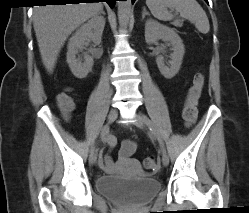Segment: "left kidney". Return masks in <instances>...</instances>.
<instances>
[{
  "label": "left kidney",
  "instance_id": "1",
  "mask_svg": "<svg viewBox=\"0 0 249 213\" xmlns=\"http://www.w3.org/2000/svg\"><path fill=\"white\" fill-rule=\"evenodd\" d=\"M169 42L172 46L173 53L170 55L168 66L163 56L156 58V63L159 71L166 79L173 78L180 70L185 48L182 39L176 31L166 25H163L155 20L149 19L145 23V40L148 44H153L158 40Z\"/></svg>",
  "mask_w": 249,
  "mask_h": 213
}]
</instances>
